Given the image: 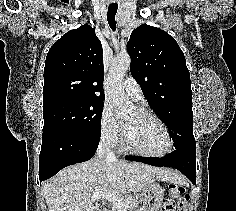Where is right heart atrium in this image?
Listing matches in <instances>:
<instances>
[{
	"mask_svg": "<svg viewBox=\"0 0 236 211\" xmlns=\"http://www.w3.org/2000/svg\"><path fill=\"white\" fill-rule=\"evenodd\" d=\"M99 130L101 140L111 147L118 146L122 140L123 125L109 104L102 109Z\"/></svg>",
	"mask_w": 236,
	"mask_h": 211,
	"instance_id": "right-heart-atrium-1",
	"label": "right heart atrium"
}]
</instances>
